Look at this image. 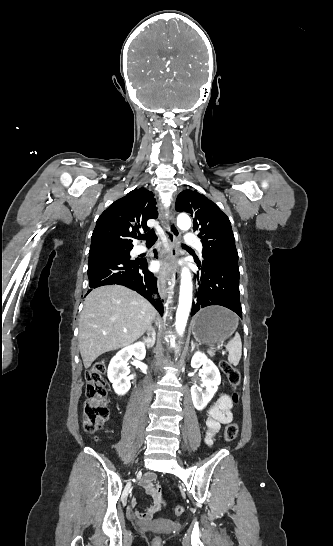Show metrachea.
<instances>
[{
	"label": "trachea",
	"instance_id": "trachea-1",
	"mask_svg": "<svg viewBox=\"0 0 333 546\" xmlns=\"http://www.w3.org/2000/svg\"><path fill=\"white\" fill-rule=\"evenodd\" d=\"M138 239H140V240L144 239V240H146L147 245H152V244H154L156 242L157 235H156L155 231L152 229V230H150L148 233H146L144 235H139Z\"/></svg>",
	"mask_w": 333,
	"mask_h": 546
}]
</instances>
